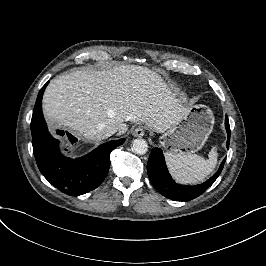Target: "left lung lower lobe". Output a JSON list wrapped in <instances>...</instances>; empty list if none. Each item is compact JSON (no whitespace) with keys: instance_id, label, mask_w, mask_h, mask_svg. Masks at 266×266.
I'll use <instances>...</instances> for the list:
<instances>
[{"instance_id":"0a47b994","label":"left lung lower lobe","mask_w":266,"mask_h":266,"mask_svg":"<svg viewBox=\"0 0 266 266\" xmlns=\"http://www.w3.org/2000/svg\"><path fill=\"white\" fill-rule=\"evenodd\" d=\"M225 127L228 134L227 148H229L230 126L228 117L225 116ZM226 158L221 163L218 171L206 182L194 185H180L175 183L165 164L160 148H153L147 163V173L152 185L163 196L175 201H190L204 193L220 175Z\"/></svg>"}]
</instances>
